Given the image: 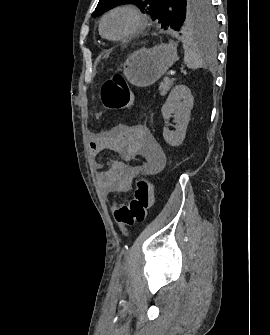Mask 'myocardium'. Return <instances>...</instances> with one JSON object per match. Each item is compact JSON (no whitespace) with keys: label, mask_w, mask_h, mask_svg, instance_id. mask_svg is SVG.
Instances as JSON below:
<instances>
[{"label":"myocardium","mask_w":270,"mask_h":335,"mask_svg":"<svg viewBox=\"0 0 270 335\" xmlns=\"http://www.w3.org/2000/svg\"><path fill=\"white\" fill-rule=\"evenodd\" d=\"M118 12H126V13H129V14L133 15L135 17V19L137 20V26L132 31H130V32H128V33H126V34H124L120 37L112 38V37H109L105 33V29H104L105 28V23L111 15H113L115 13H118ZM148 23H149V19L139 9H137L133 6L124 5V6H119V7H116L114 9H112L102 18V20L100 22V32L108 40H112V41L126 40V39L134 37L135 35L141 33L142 31H144L146 29V27L148 26ZM128 78H137V77H128Z\"/></svg>","instance_id":"obj_1"}]
</instances>
